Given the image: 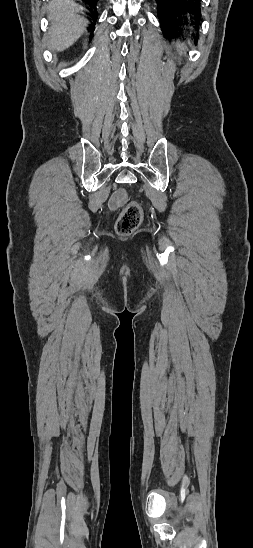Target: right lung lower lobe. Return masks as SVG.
Here are the masks:
<instances>
[{
	"label": "right lung lower lobe",
	"mask_w": 253,
	"mask_h": 548,
	"mask_svg": "<svg viewBox=\"0 0 253 548\" xmlns=\"http://www.w3.org/2000/svg\"><path fill=\"white\" fill-rule=\"evenodd\" d=\"M84 1L85 3L89 4L91 8H94V9L96 8V4L98 2V0H84ZM93 21H96V18H93Z\"/></svg>",
	"instance_id": "obj_1"
}]
</instances>
